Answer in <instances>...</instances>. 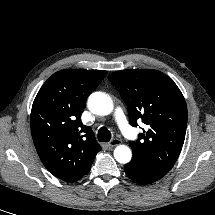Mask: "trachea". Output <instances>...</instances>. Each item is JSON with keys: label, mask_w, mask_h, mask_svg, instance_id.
Instances as JSON below:
<instances>
[{"label": "trachea", "mask_w": 215, "mask_h": 215, "mask_svg": "<svg viewBox=\"0 0 215 215\" xmlns=\"http://www.w3.org/2000/svg\"><path fill=\"white\" fill-rule=\"evenodd\" d=\"M110 139H111L110 131L105 127H101L98 130V140L100 142H108V141H110Z\"/></svg>", "instance_id": "1"}]
</instances>
